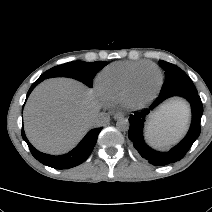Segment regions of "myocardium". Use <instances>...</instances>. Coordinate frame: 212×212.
<instances>
[{
  "label": "myocardium",
  "instance_id": "1",
  "mask_svg": "<svg viewBox=\"0 0 212 212\" xmlns=\"http://www.w3.org/2000/svg\"><path fill=\"white\" fill-rule=\"evenodd\" d=\"M146 69H154L158 74V82L156 86L147 94L145 95H139V84H140V78L142 73ZM163 75L161 70L158 66L155 64H150L147 66H143L140 69H138L131 79L130 85L128 87V90L126 92V95L124 97V105L133 110H139L144 108L147 104H149L156 96L160 85L162 83Z\"/></svg>",
  "mask_w": 212,
  "mask_h": 212
}]
</instances>
